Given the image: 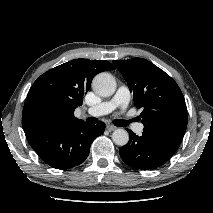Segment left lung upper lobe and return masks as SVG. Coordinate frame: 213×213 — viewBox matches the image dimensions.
Listing matches in <instances>:
<instances>
[{
	"label": "left lung upper lobe",
	"instance_id": "obj_1",
	"mask_svg": "<svg viewBox=\"0 0 213 213\" xmlns=\"http://www.w3.org/2000/svg\"><path fill=\"white\" fill-rule=\"evenodd\" d=\"M133 92L144 132L180 144L187 127V109L177 83L144 58L113 61Z\"/></svg>",
	"mask_w": 213,
	"mask_h": 213
}]
</instances>
